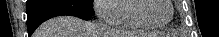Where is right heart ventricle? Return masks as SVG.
Instances as JSON below:
<instances>
[{
    "mask_svg": "<svg viewBox=\"0 0 219 37\" xmlns=\"http://www.w3.org/2000/svg\"><path fill=\"white\" fill-rule=\"evenodd\" d=\"M133 4H134V0L121 1L119 8L121 12V17L116 24L128 29H149V27L140 24L134 18L132 14Z\"/></svg>",
    "mask_w": 219,
    "mask_h": 37,
    "instance_id": "e07e8e85",
    "label": "right heart ventricle"
}]
</instances>
